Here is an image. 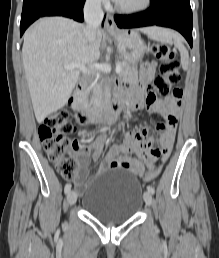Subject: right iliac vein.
I'll list each match as a JSON object with an SVG mask.
<instances>
[{
    "mask_svg": "<svg viewBox=\"0 0 219 258\" xmlns=\"http://www.w3.org/2000/svg\"><path fill=\"white\" fill-rule=\"evenodd\" d=\"M67 199H68V203L70 205H74L76 203V201H77V194H76V192L75 191H70L68 193Z\"/></svg>",
    "mask_w": 219,
    "mask_h": 258,
    "instance_id": "obj_1",
    "label": "right iliac vein"
}]
</instances>
